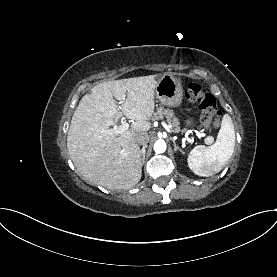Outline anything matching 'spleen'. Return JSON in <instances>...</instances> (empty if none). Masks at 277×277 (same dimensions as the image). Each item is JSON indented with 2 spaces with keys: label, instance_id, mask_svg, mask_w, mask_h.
Masks as SVG:
<instances>
[{
  "label": "spleen",
  "instance_id": "spleen-1",
  "mask_svg": "<svg viewBox=\"0 0 277 277\" xmlns=\"http://www.w3.org/2000/svg\"><path fill=\"white\" fill-rule=\"evenodd\" d=\"M235 131L231 117L224 114L216 142L198 145L188 156L189 168L198 176L209 177L220 172L234 152Z\"/></svg>",
  "mask_w": 277,
  "mask_h": 277
}]
</instances>
